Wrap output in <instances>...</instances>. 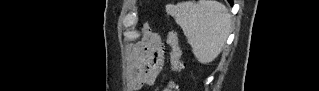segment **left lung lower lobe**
I'll list each match as a JSON object with an SVG mask.
<instances>
[{"label":"left lung lower lobe","mask_w":319,"mask_h":91,"mask_svg":"<svg viewBox=\"0 0 319 91\" xmlns=\"http://www.w3.org/2000/svg\"><path fill=\"white\" fill-rule=\"evenodd\" d=\"M228 2L232 5L233 4V1L232 0H228Z\"/></svg>","instance_id":"obj_1"}]
</instances>
